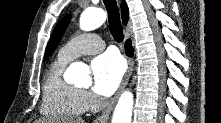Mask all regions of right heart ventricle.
<instances>
[{
  "label": "right heart ventricle",
  "instance_id": "right-heart-ventricle-1",
  "mask_svg": "<svg viewBox=\"0 0 221 123\" xmlns=\"http://www.w3.org/2000/svg\"><path fill=\"white\" fill-rule=\"evenodd\" d=\"M67 63L68 61L57 57L45 74L41 104L43 115L69 119L78 117L87 110L83 92L62 77Z\"/></svg>",
  "mask_w": 221,
  "mask_h": 123
}]
</instances>
